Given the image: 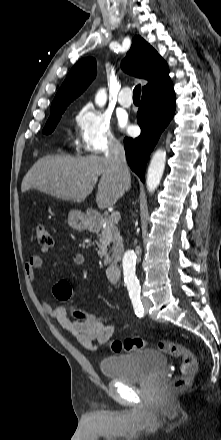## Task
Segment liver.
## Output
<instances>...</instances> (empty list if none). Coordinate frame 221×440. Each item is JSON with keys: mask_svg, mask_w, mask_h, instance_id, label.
<instances>
[{"mask_svg": "<svg viewBox=\"0 0 221 440\" xmlns=\"http://www.w3.org/2000/svg\"><path fill=\"white\" fill-rule=\"evenodd\" d=\"M99 178L96 202L100 209H105L113 206L125 191L122 180L104 156L43 157L23 178L21 191L36 189L80 203L92 193Z\"/></svg>", "mask_w": 221, "mask_h": 440, "instance_id": "liver-1", "label": "liver"}]
</instances>
